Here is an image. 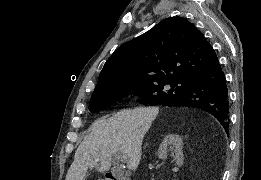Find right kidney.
Wrapping results in <instances>:
<instances>
[{"label": "right kidney", "instance_id": "1", "mask_svg": "<svg viewBox=\"0 0 261 180\" xmlns=\"http://www.w3.org/2000/svg\"><path fill=\"white\" fill-rule=\"evenodd\" d=\"M168 150L172 152V156L174 158L173 162H176L177 166H183V142L180 136H176V134H169V136H165L157 152L158 158H162V160L167 158Z\"/></svg>", "mask_w": 261, "mask_h": 180}]
</instances>
